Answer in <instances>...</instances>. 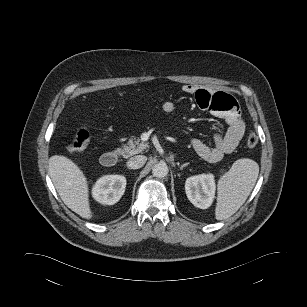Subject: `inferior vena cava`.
Returning a JSON list of instances; mask_svg holds the SVG:
<instances>
[{
  "label": "inferior vena cava",
  "mask_w": 307,
  "mask_h": 307,
  "mask_svg": "<svg viewBox=\"0 0 307 307\" xmlns=\"http://www.w3.org/2000/svg\"><path fill=\"white\" fill-rule=\"evenodd\" d=\"M146 160H147L146 157L142 155L131 157L127 161V167L130 169H139L144 166V164L146 163Z\"/></svg>",
  "instance_id": "inferior-vena-cava-1"
}]
</instances>
